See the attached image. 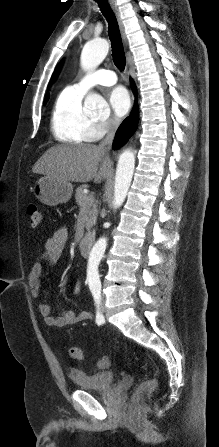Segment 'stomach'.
Listing matches in <instances>:
<instances>
[{
  "label": "stomach",
  "mask_w": 219,
  "mask_h": 447,
  "mask_svg": "<svg viewBox=\"0 0 219 447\" xmlns=\"http://www.w3.org/2000/svg\"><path fill=\"white\" fill-rule=\"evenodd\" d=\"M33 193L42 203L55 206L59 203H65L71 198L73 186L69 181L45 175L36 181Z\"/></svg>",
  "instance_id": "obj_1"
}]
</instances>
